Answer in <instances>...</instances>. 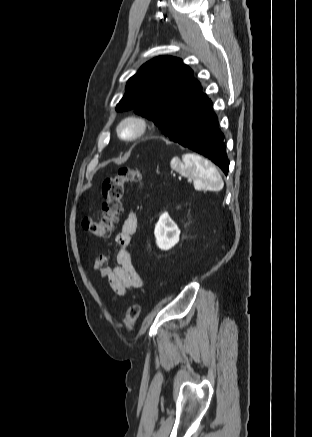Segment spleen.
Here are the masks:
<instances>
[{
    "label": "spleen",
    "mask_w": 312,
    "mask_h": 437,
    "mask_svg": "<svg viewBox=\"0 0 312 437\" xmlns=\"http://www.w3.org/2000/svg\"><path fill=\"white\" fill-rule=\"evenodd\" d=\"M170 165L173 169L193 179L194 185L205 190L220 191L224 182L216 167L196 154L182 155V161L174 157Z\"/></svg>",
    "instance_id": "spleen-1"
}]
</instances>
